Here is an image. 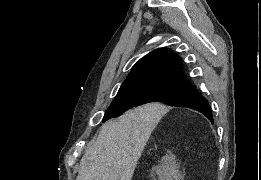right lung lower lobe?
<instances>
[{
  "label": "right lung lower lobe",
  "instance_id": "right-lung-lower-lobe-1",
  "mask_svg": "<svg viewBox=\"0 0 261 180\" xmlns=\"http://www.w3.org/2000/svg\"><path fill=\"white\" fill-rule=\"evenodd\" d=\"M171 106H183V107H187V108L196 110V111L202 113L203 115H205L211 122H213V117H212L209 102L206 100V98H204L203 96H200L199 93H197L193 96L181 99L179 101H176Z\"/></svg>",
  "mask_w": 261,
  "mask_h": 180
}]
</instances>
